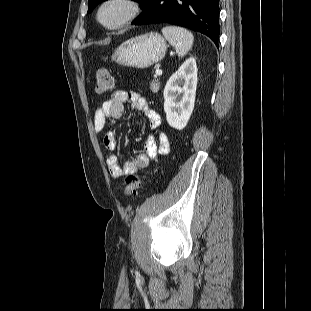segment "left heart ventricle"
Returning <instances> with one entry per match:
<instances>
[{
    "mask_svg": "<svg viewBox=\"0 0 311 311\" xmlns=\"http://www.w3.org/2000/svg\"><path fill=\"white\" fill-rule=\"evenodd\" d=\"M123 14V8L120 5H110L108 6L102 14L103 20L112 24L115 23Z\"/></svg>",
    "mask_w": 311,
    "mask_h": 311,
    "instance_id": "obj_1",
    "label": "left heart ventricle"
}]
</instances>
